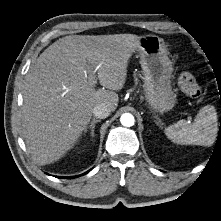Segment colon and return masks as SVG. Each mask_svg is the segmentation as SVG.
Returning <instances> with one entry per match:
<instances>
[{
  "mask_svg": "<svg viewBox=\"0 0 221 221\" xmlns=\"http://www.w3.org/2000/svg\"><path fill=\"white\" fill-rule=\"evenodd\" d=\"M181 90L194 99H200L202 91L194 76L189 72H183L178 80Z\"/></svg>",
  "mask_w": 221,
  "mask_h": 221,
  "instance_id": "obj_1",
  "label": "colon"
}]
</instances>
